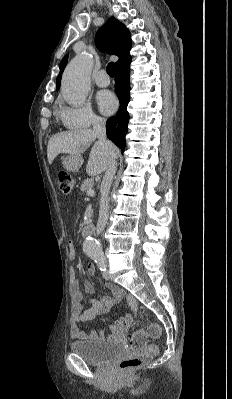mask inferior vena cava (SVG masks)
Segmentation results:
<instances>
[{
	"label": "inferior vena cava",
	"instance_id": "inferior-vena-cava-1",
	"mask_svg": "<svg viewBox=\"0 0 232 399\" xmlns=\"http://www.w3.org/2000/svg\"><path fill=\"white\" fill-rule=\"evenodd\" d=\"M92 124L94 134L96 138H98V142H100V144H106V146H110V148H112V142H108V140H106V128L104 118H99V116H95V118H92ZM116 170V156L115 154H110L108 168L105 172V176L101 184V200L97 223V233H101L107 223L109 211V190L112 184V180L116 174Z\"/></svg>",
	"mask_w": 232,
	"mask_h": 399
}]
</instances>
